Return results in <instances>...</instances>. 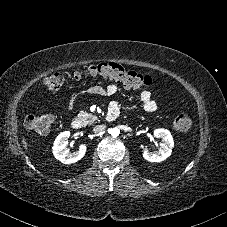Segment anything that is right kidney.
I'll return each mask as SVG.
<instances>
[{"mask_svg":"<svg viewBox=\"0 0 227 227\" xmlns=\"http://www.w3.org/2000/svg\"><path fill=\"white\" fill-rule=\"evenodd\" d=\"M69 137V131L62 132L55 139L52 148L55 158L64 164H72L79 161L83 158L87 149L85 144H81L76 152L70 153L69 150L66 148Z\"/></svg>","mask_w":227,"mask_h":227,"instance_id":"1","label":"right kidney"}]
</instances>
